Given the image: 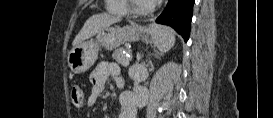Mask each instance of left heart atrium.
I'll return each mask as SVG.
<instances>
[{
	"instance_id": "left-heart-atrium-1",
	"label": "left heart atrium",
	"mask_w": 273,
	"mask_h": 118,
	"mask_svg": "<svg viewBox=\"0 0 273 118\" xmlns=\"http://www.w3.org/2000/svg\"><path fill=\"white\" fill-rule=\"evenodd\" d=\"M161 0H148L147 2L150 4V5H154L156 4L157 2H159Z\"/></svg>"
}]
</instances>
